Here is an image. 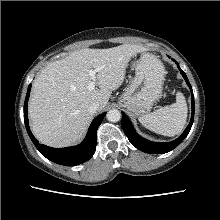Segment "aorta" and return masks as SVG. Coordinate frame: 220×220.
<instances>
[{
    "label": "aorta",
    "mask_w": 220,
    "mask_h": 220,
    "mask_svg": "<svg viewBox=\"0 0 220 220\" xmlns=\"http://www.w3.org/2000/svg\"><path fill=\"white\" fill-rule=\"evenodd\" d=\"M106 118L110 122H118L121 119V112L117 109H111L107 112Z\"/></svg>",
    "instance_id": "obj_1"
}]
</instances>
